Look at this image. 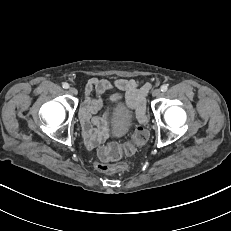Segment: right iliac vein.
Returning a JSON list of instances; mask_svg holds the SVG:
<instances>
[{"label":"right iliac vein","mask_w":231,"mask_h":231,"mask_svg":"<svg viewBox=\"0 0 231 231\" xmlns=\"http://www.w3.org/2000/svg\"><path fill=\"white\" fill-rule=\"evenodd\" d=\"M69 92L72 95H77V93H78V91H77V89L75 87H70L69 88Z\"/></svg>","instance_id":"1"}]
</instances>
